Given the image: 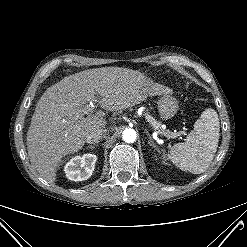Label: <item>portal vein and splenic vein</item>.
<instances>
[{
    "label": "portal vein and splenic vein",
    "instance_id": "obj_1",
    "mask_svg": "<svg viewBox=\"0 0 247 247\" xmlns=\"http://www.w3.org/2000/svg\"><path fill=\"white\" fill-rule=\"evenodd\" d=\"M93 107H94L93 101L91 100V101L89 102V105H88L87 108H86L85 113L88 114V113L91 111V109H92ZM155 134H156V136H157V135H158V132H155Z\"/></svg>",
    "mask_w": 247,
    "mask_h": 247
}]
</instances>
